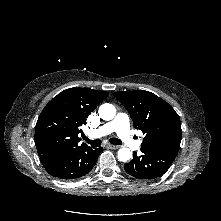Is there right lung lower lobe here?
I'll list each match as a JSON object with an SVG mask.
<instances>
[{
  "label": "right lung lower lobe",
  "mask_w": 221,
  "mask_h": 221,
  "mask_svg": "<svg viewBox=\"0 0 221 221\" xmlns=\"http://www.w3.org/2000/svg\"><path fill=\"white\" fill-rule=\"evenodd\" d=\"M102 150V147L91 148L87 145L59 149L47 156H40V161L50 175L73 180L90 172Z\"/></svg>",
  "instance_id": "1"
}]
</instances>
